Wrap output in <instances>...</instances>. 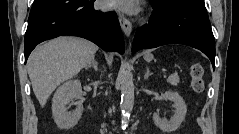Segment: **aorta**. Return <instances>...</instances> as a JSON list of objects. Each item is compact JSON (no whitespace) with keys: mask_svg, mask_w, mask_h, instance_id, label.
<instances>
[{"mask_svg":"<svg viewBox=\"0 0 239 134\" xmlns=\"http://www.w3.org/2000/svg\"><path fill=\"white\" fill-rule=\"evenodd\" d=\"M121 92H122L120 103L122 112L121 124L122 127L125 128L128 125L130 113L132 112L134 106L133 75L126 64L123 65L121 70Z\"/></svg>","mask_w":239,"mask_h":134,"instance_id":"aorta-1","label":"aorta"}]
</instances>
